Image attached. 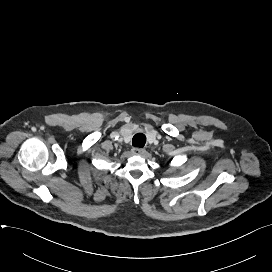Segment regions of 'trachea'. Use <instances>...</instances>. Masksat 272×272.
I'll use <instances>...</instances> for the list:
<instances>
[{"mask_svg": "<svg viewBox=\"0 0 272 272\" xmlns=\"http://www.w3.org/2000/svg\"><path fill=\"white\" fill-rule=\"evenodd\" d=\"M146 143V136L143 133H137L133 136L132 145L142 148Z\"/></svg>", "mask_w": 272, "mask_h": 272, "instance_id": "1", "label": "trachea"}]
</instances>
